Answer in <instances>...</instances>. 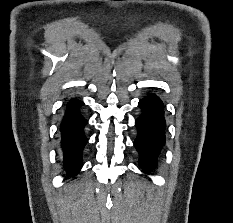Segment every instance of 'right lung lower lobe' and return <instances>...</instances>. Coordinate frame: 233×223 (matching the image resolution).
<instances>
[{
	"mask_svg": "<svg viewBox=\"0 0 233 223\" xmlns=\"http://www.w3.org/2000/svg\"><path fill=\"white\" fill-rule=\"evenodd\" d=\"M83 102L72 99L67 104L66 114L62 120L60 130L62 133V149L64 153V167L74 176L82 165V150L87 143L83 128L87 120L79 113L78 109Z\"/></svg>",
	"mask_w": 233,
	"mask_h": 223,
	"instance_id": "98d812e1",
	"label": "right lung lower lobe"
}]
</instances>
